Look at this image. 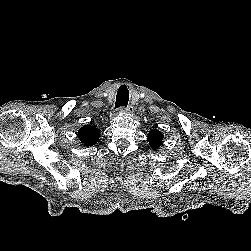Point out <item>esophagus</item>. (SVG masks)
<instances>
[{"instance_id": "obj_1", "label": "esophagus", "mask_w": 251, "mask_h": 251, "mask_svg": "<svg viewBox=\"0 0 251 251\" xmlns=\"http://www.w3.org/2000/svg\"><path fill=\"white\" fill-rule=\"evenodd\" d=\"M133 111V106L129 105L127 107H121L119 113H131Z\"/></svg>"}]
</instances>
